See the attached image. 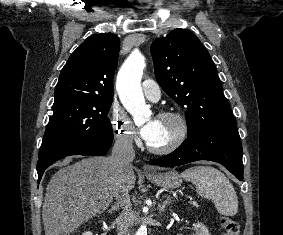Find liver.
Wrapping results in <instances>:
<instances>
[{
  "label": "liver",
  "mask_w": 283,
  "mask_h": 235,
  "mask_svg": "<svg viewBox=\"0 0 283 235\" xmlns=\"http://www.w3.org/2000/svg\"><path fill=\"white\" fill-rule=\"evenodd\" d=\"M64 166L51 178L43 203L45 235H70L84 222L104 212L112 202L115 171L110 157L83 158ZM132 170L126 178L128 190L135 186Z\"/></svg>",
  "instance_id": "obj_1"
}]
</instances>
